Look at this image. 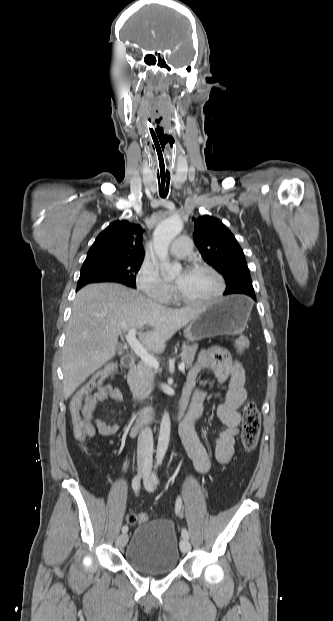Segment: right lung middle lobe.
<instances>
[{"instance_id": "obj_1", "label": "right lung middle lobe", "mask_w": 333, "mask_h": 621, "mask_svg": "<svg viewBox=\"0 0 333 621\" xmlns=\"http://www.w3.org/2000/svg\"><path fill=\"white\" fill-rule=\"evenodd\" d=\"M142 261V259L127 258L85 260L78 286L94 282H118L135 288L136 273Z\"/></svg>"}]
</instances>
